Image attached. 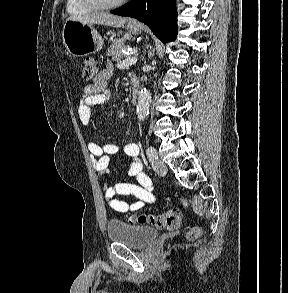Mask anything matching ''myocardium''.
<instances>
[{
    "label": "myocardium",
    "instance_id": "obj_1",
    "mask_svg": "<svg viewBox=\"0 0 288 293\" xmlns=\"http://www.w3.org/2000/svg\"><path fill=\"white\" fill-rule=\"evenodd\" d=\"M85 4L96 8V9H110L114 7H118L126 2V0H115V1H107V0H82Z\"/></svg>",
    "mask_w": 288,
    "mask_h": 293
}]
</instances>
